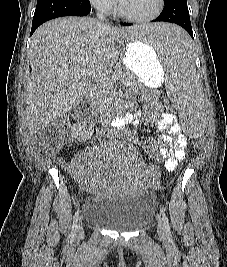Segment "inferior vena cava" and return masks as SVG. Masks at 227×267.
Segmentation results:
<instances>
[{"mask_svg": "<svg viewBox=\"0 0 227 267\" xmlns=\"http://www.w3.org/2000/svg\"><path fill=\"white\" fill-rule=\"evenodd\" d=\"M104 5L103 4H100L97 6V13H96V16L98 18V20L100 21L101 24H103L104 26H109V24L107 23V20L105 18V15H104Z\"/></svg>", "mask_w": 227, "mask_h": 267, "instance_id": "obj_1", "label": "inferior vena cava"}]
</instances>
